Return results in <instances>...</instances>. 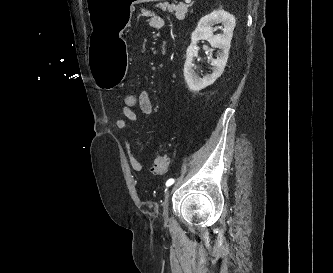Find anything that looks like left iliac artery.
I'll list each match as a JSON object with an SVG mask.
<instances>
[{"instance_id": "left-iliac-artery-1", "label": "left iliac artery", "mask_w": 333, "mask_h": 273, "mask_svg": "<svg viewBox=\"0 0 333 273\" xmlns=\"http://www.w3.org/2000/svg\"><path fill=\"white\" fill-rule=\"evenodd\" d=\"M174 182H175V180L171 178V179L167 180V182H166V186L169 187V186H171Z\"/></svg>"}]
</instances>
